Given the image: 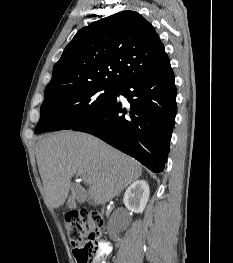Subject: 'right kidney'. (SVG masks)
<instances>
[{
  "instance_id": "ca27d5eb",
  "label": "right kidney",
  "mask_w": 233,
  "mask_h": 263,
  "mask_svg": "<svg viewBox=\"0 0 233 263\" xmlns=\"http://www.w3.org/2000/svg\"><path fill=\"white\" fill-rule=\"evenodd\" d=\"M149 185L145 180L133 182L126 190L123 202L125 207L135 213H142L149 200Z\"/></svg>"
}]
</instances>
